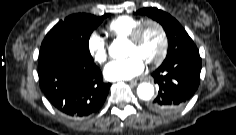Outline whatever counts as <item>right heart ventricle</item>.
I'll list each match as a JSON object with an SVG mask.
<instances>
[{"instance_id": "e07e8e85", "label": "right heart ventricle", "mask_w": 236, "mask_h": 135, "mask_svg": "<svg viewBox=\"0 0 236 135\" xmlns=\"http://www.w3.org/2000/svg\"><path fill=\"white\" fill-rule=\"evenodd\" d=\"M142 21V18L122 15L111 20L106 25V31L113 38H128Z\"/></svg>"}]
</instances>
